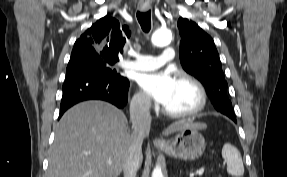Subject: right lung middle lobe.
I'll list each match as a JSON object with an SVG mask.
<instances>
[{"instance_id":"obj_1","label":"right lung middle lobe","mask_w":287,"mask_h":177,"mask_svg":"<svg viewBox=\"0 0 287 177\" xmlns=\"http://www.w3.org/2000/svg\"><path fill=\"white\" fill-rule=\"evenodd\" d=\"M115 62L101 58L88 57L70 61L66 69V75L78 72H95L103 76L120 79L121 75L115 69L110 68Z\"/></svg>"}]
</instances>
